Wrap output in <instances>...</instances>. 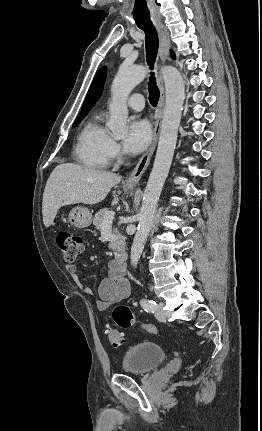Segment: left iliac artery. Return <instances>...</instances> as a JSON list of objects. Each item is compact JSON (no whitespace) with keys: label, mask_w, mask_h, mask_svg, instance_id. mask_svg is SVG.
<instances>
[{"label":"left iliac artery","mask_w":262,"mask_h":431,"mask_svg":"<svg viewBox=\"0 0 262 431\" xmlns=\"http://www.w3.org/2000/svg\"><path fill=\"white\" fill-rule=\"evenodd\" d=\"M140 304L146 312H154L157 308V303L150 299L142 298Z\"/></svg>","instance_id":"1"}]
</instances>
